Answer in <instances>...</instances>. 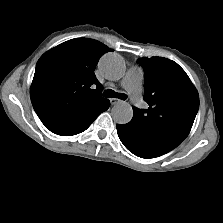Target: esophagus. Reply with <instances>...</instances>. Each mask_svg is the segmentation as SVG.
<instances>
[{"label": "esophagus", "instance_id": "1", "mask_svg": "<svg viewBox=\"0 0 223 223\" xmlns=\"http://www.w3.org/2000/svg\"><path fill=\"white\" fill-rule=\"evenodd\" d=\"M121 102V100H119V99H117V98H112V99H110V103H111V105H116V104H118V103H120Z\"/></svg>", "mask_w": 223, "mask_h": 223}]
</instances>
